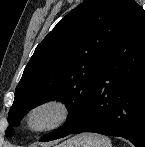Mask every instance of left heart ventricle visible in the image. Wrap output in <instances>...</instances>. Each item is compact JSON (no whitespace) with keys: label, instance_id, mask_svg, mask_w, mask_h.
I'll return each instance as SVG.
<instances>
[{"label":"left heart ventricle","instance_id":"b2bd125f","mask_svg":"<svg viewBox=\"0 0 145 147\" xmlns=\"http://www.w3.org/2000/svg\"><path fill=\"white\" fill-rule=\"evenodd\" d=\"M53 117V114L52 113H45L43 114L39 119H38V122H47L49 121L50 119H52Z\"/></svg>","mask_w":145,"mask_h":147}]
</instances>
